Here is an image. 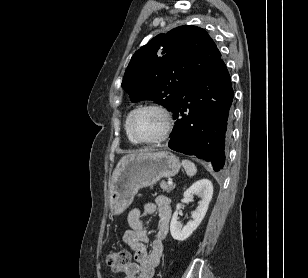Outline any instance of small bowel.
<instances>
[{
    "instance_id": "obj_1",
    "label": "small bowel",
    "mask_w": 308,
    "mask_h": 278,
    "mask_svg": "<svg viewBox=\"0 0 308 278\" xmlns=\"http://www.w3.org/2000/svg\"><path fill=\"white\" fill-rule=\"evenodd\" d=\"M157 213L159 223L152 242L151 250H147L149 242L143 216ZM171 203L167 196L160 195L153 203H146L142 210L133 209L129 212L127 221L129 229L123 234V241L129 246L133 261L124 271V278H153L155 270L160 263L163 253V240L165 239L171 219Z\"/></svg>"
}]
</instances>
